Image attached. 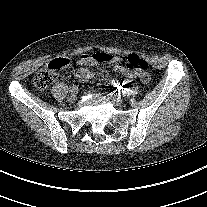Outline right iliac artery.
Segmentation results:
<instances>
[{
	"label": "right iliac artery",
	"instance_id": "82829eb1",
	"mask_svg": "<svg viewBox=\"0 0 207 207\" xmlns=\"http://www.w3.org/2000/svg\"><path fill=\"white\" fill-rule=\"evenodd\" d=\"M78 86L77 85H73L71 86L70 88V93L73 94V93H77L78 92Z\"/></svg>",
	"mask_w": 207,
	"mask_h": 207
}]
</instances>
